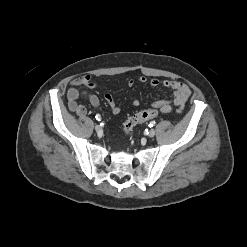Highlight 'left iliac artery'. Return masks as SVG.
Returning a JSON list of instances; mask_svg holds the SVG:
<instances>
[{
	"instance_id": "left-iliac-artery-1",
	"label": "left iliac artery",
	"mask_w": 247,
	"mask_h": 247,
	"mask_svg": "<svg viewBox=\"0 0 247 247\" xmlns=\"http://www.w3.org/2000/svg\"><path fill=\"white\" fill-rule=\"evenodd\" d=\"M155 124H156L155 121H151L150 124H149V126H150V127H153Z\"/></svg>"
}]
</instances>
